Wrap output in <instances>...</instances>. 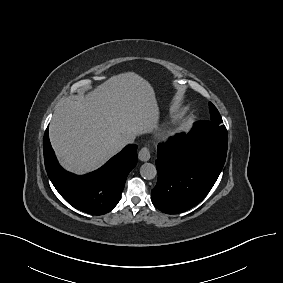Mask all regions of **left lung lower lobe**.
I'll list each match as a JSON object with an SVG mask.
<instances>
[{
	"label": "left lung lower lobe",
	"instance_id": "obj_1",
	"mask_svg": "<svg viewBox=\"0 0 283 283\" xmlns=\"http://www.w3.org/2000/svg\"><path fill=\"white\" fill-rule=\"evenodd\" d=\"M226 127L198 121L186 135L180 133L158 145V180L152 203L167 214L184 212L199 204L220 175L227 155Z\"/></svg>",
	"mask_w": 283,
	"mask_h": 283
}]
</instances>
